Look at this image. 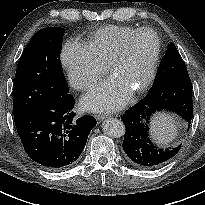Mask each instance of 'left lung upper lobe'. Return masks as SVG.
I'll return each instance as SVG.
<instances>
[{
  "mask_svg": "<svg viewBox=\"0 0 205 205\" xmlns=\"http://www.w3.org/2000/svg\"><path fill=\"white\" fill-rule=\"evenodd\" d=\"M179 76H188L187 68L175 45L170 43L159 66L154 84L163 83Z\"/></svg>",
  "mask_w": 205,
  "mask_h": 205,
  "instance_id": "1",
  "label": "left lung upper lobe"
}]
</instances>
